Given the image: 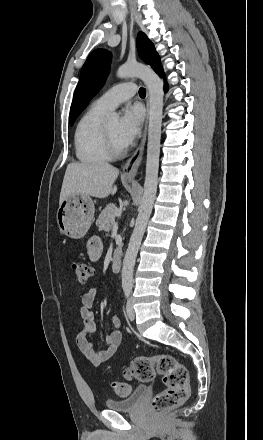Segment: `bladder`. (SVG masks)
<instances>
[{
  "mask_svg": "<svg viewBox=\"0 0 263 440\" xmlns=\"http://www.w3.org/2000/svg\"><path fill=\"white\" fill-rule=\"evenodd\" d=\"M148 387L144 385L137 386L133 392L125 398L108 399L105 401V407L109 410L125 412L137 409L142 399L146 395Z\"/></svg>",
  "mask_w": 263,
  "mask_h": 440,
  "instance_id": "bladder-1",
  "label": "bladder"
}]
</instances>
